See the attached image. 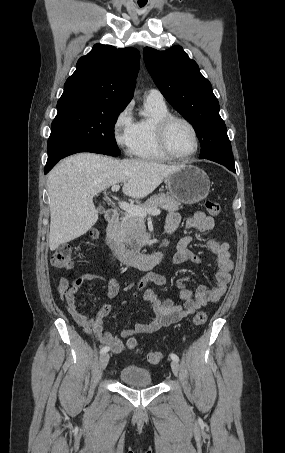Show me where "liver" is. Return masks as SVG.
<instances>
[{
    "instance_id": "6515ba94",
    "label": "liver",
    "mask_w": 285,
    "mask_h": 453,
    "mask_svg": "<svg viewBox=\"0 0 285 453\" xmlns=\"http://www.w3.org/2000/svg\"><path fill=\"white\" fill-rule=\"evenodd\" d=\"M181 166L148 160H118L93 153L63 159L47 178L50 250H56L92 228L98 220L93 197L99 192L122 182L125 195L144 198Z\"/></svg>"
}]
</instances>
